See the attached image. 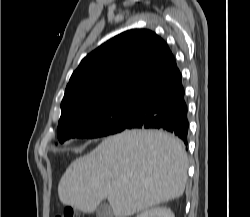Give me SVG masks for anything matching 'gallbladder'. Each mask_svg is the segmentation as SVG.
I'll return each mask as SVG.
<instances>
[{
	"mask_svg": "<svg viewBox=\"0 0 250 217\" xmlns=\"http://www.w3.org/2000/svg\"><path fill=\"white\" fill-rule=\"evenodd\" d=\"M96 217H113V212L108 203L101 204L96 210Z\"/></svg>",
	"mask_w": 250,
	"mask_h": 217,
	"instance_id": "obj_1",
	"label": "gallbladder"
}]
</instances>
